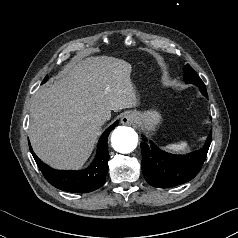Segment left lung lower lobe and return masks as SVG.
Here are the masks:
<instances>
[{
    "label": "left lung lower lobe",
    "mask_w": 238,
    "mask_h": 238,
    "mask_svg": "<svg viewBox=\"0 0 238 238\" xmlns=\"http://www.w3.org/2000/svg\"><path fill=\"white\" fill-rule=\"evenodd\" d=\"M209 136L202 149L185 155L163 151L152 141L143 138L142 171L149 184L157 188H170L193 179L200 171L211 144Z\"/></svg>",
    "instance_id": "left-lung-lower-lobe-1"
}]
</instances>
